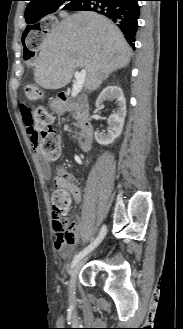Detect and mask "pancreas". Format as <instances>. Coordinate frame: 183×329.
Returning a JSON list of instances; mask_svg holds the SVG:
<instances>
[{"label": "pancreas", "instance_id": "1", "mask_svg": "<svg viewBox=\"0 0 183 329\" xmlns=\"http://www.w3.org/2000/svg\"><path fill=\"white\" fill-rule=\"evenodd\" d=\"M65 109H66V108L62 105V110H61V112H62V111H65ZM61 112H60V113H61ZM73 116L76 117V114H73Z\"/></svg>", "mask_w": 183, "mask_h": 329}]
</instances>
